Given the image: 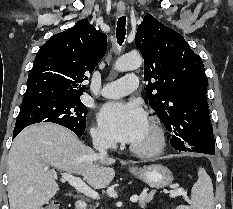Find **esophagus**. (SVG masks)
<instances>
[{"mask_svg": "<svg viewBox=\"0 0 233 209\" xmlns=\"http://www.w3.org/2000/svg\"><path fill=\"white\" fill-rule=\"evenodd\" d=\"M117 10L120 14H124L125 13V5H123V4L117 5Z\"/></svg>", "mask_w": 233, "mask_h": 209, "instance_id": "34e87169", "label": "esophagus"}]
</instances>
